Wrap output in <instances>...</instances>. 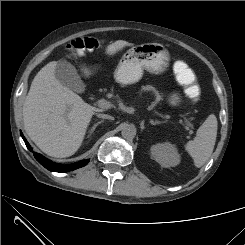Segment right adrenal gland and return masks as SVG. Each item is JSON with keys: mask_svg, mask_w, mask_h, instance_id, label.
I'll return each mask as SVG.
<instances>
[{"mask_svg": "<svg viewBox=\"0 0 245 245\" xmlns=\"http://www.w3.org/2000/svg\"><path fill=\"white\" fill-rule=\"evenodd\" d=\"M102 122H104V120H100V121H98L97 123H95V124L93 125V127L91 128V130H90V132H89V135L87 136L88 138H90V137L92 136V134L94 133L96 127H97L99 124H101Z\"/></svg>", "mask_w": 245, "mask_h": 245, "instance_id": "right-adrenal-gland-1", "label": "right adrenal gland"}]
</instances>
